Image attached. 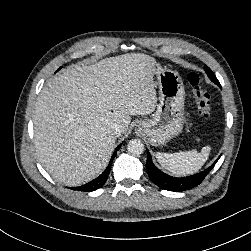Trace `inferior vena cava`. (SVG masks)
I'll return each instance as SVG.
<instances>
[{
  "mask_svg": "<svg viewBox=\"0 0 251 251\" xmlns=\"http://www.w3.org/2000/svg\"><path fill=\"white\" fill-rule=\"evenodd\" d=\"M111 133L115 136H119L122 133V128L118 124H113L111 126Z\"/></svg>",
  "mask_w": 251,
  "mask_h": 251,
  "instance_id": "602c4592",
  "label": "inferior vena cava"
}]
</instances>
